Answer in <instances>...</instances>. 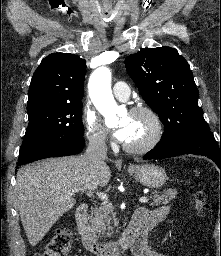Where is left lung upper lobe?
I'll list each match as a JSON object with an SVG mask.
<instances>
[{
  "label": "left lung upper lobe",
  "instance_id": "left-lung-upper-lobe-1",
  "mask_svg": "<svg viewBox=\"0 0 221 256\" xmlns=\"http://www.w3.org/2000/svg\"><path fill=\"white\" fill-rule=\"evenodd\" d=\"M125 66L144 101L165 125L161 139L209 130L190 66L176 49L147 48L129 55Z\"/></svg>",
  "mask_w": 221,
  "mask_h": 256
}]
</instances>
